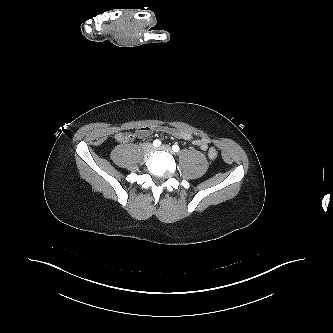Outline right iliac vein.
Masks as SVG:
<instances>
[{
	"mask_svg": "<svg viewBox=\"0 0 333 333\" xmlns=\"http://www.w3.org/2000/svg\"><path fill=\"white\" fill-rule=\"evenodd\" d=\"M153 145L151 143H144L142 146V150L144 152V154L149 155L152 153L153 151Z\"/></svg>",
	"mask_w": 333,
	"mask_h": 333,
	"instance_id": "obj_1",
	"label": "right iliac vein"
}]
</instances>
